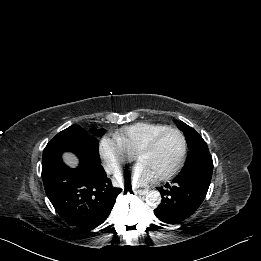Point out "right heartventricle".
Segmentation results:
<instances>
[{
	"label": "right heart ventricle",
	"mask_w": 261,
	"mask_h": 261,
	"mask_svg": "<svg viewBox=\"0 0 261 261\" xmlns=\"http://www.w3.org/2000/svg\"><path fill=\"white\" fill-rule=\"evenodd\" d=\"M168 128L162 124L139 122L117 131L114 137L132 155L145 145L155 134Z\"/></svg>",
	"instance_id": "1"
}]
</instances>
